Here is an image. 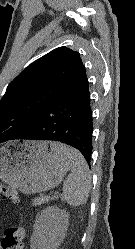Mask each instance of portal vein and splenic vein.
<instances>
[{
    "mask_svg": "<svg viewBox=\"0 0 135 249\" xmlns=\"http://www.w3.org/2000/svg\"><path fill=\"white\" fill-rule=\"evenodd\" d=\"M54 194H55V195H58V192H55Z\"/></svg>",
    "mask_w": 135,
    "mask_h": 249,
    "instance_id": "18ae733b",
    "label": "portal vein and splenic vein"
}]
</instances>
